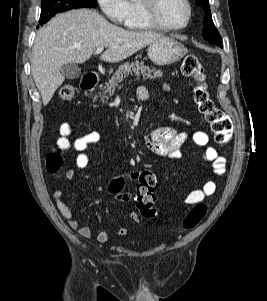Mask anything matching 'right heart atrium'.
Masks as SVG:
<instances>
[{"instance_id":"obj_1","label":"right heart atrium","mask_w":267,"mask_h":301,"mask_svg":"<svg viewBox=\"0 0 267 301\" xmlns=\"http://www.w3.org/2000/svg\"><path fill=\"white\" fill-rule=\"evenodd\" d=\"M103 14L119 25H125L128 18L127 0H97Z\"/></svg>"}]
</instances>
